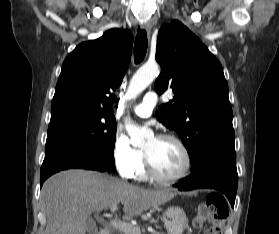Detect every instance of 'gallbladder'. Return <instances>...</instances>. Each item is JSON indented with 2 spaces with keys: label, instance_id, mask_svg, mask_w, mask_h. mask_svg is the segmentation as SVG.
<instances>
[{
  "label": "gallbladder",
  "instance_id": "gallbladder-1",
  "mask_svg": "<svg viewBox=\"0 0 279 234\" xmlns=\"http://www.w3.org/2000/svg\"><path fill=\"white\" fill-rule=\"evenodd\" d=\"M87 230L89 234H96L97 232V227L95 226L93 220L90 218L87 220Z\"/></svg>",
  "mask_w": 279,
  "mask_h": 234
}]
</instances>
